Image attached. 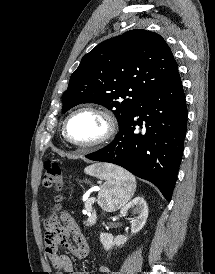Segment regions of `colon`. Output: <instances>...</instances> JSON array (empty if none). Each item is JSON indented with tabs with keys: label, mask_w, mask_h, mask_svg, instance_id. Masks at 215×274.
<instances>
[{
	"label": "colon",
	"mask_w": 215,
	"mask_h": 274,
	"mask_svg": "<svg viewBox=\"0 0 215 274\" xmlns=\"http://www.w3.org/2000/svg\"><path fill=\"white\" fill-rule=\"evenodd\" d=\"M43 185L46 188H54L59 192L56 201L60 203L63 199V174L60 164L55 160H47L44 163Z\"/></svg>",
	"instance_id": "colon-1"
}]
</instances>
